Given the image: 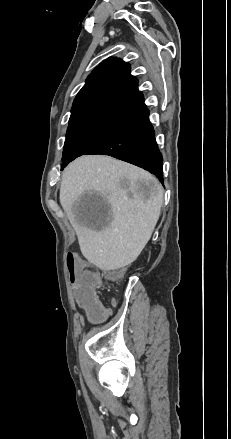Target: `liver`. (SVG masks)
I'll return each mask as SVG.
<instances>
[{
    "label": "liver",
    "mask_w": 231,
    "mask_h": 439,
    "mask_svg": "<svg viewBox=\"0 0 231 439\" xmlns=\"http://www.w3.org/2000/svg\"><path fill=\"white\" fill-rule=\"evenodd\" d=\"M128 187L122 186V181ZM96 194L109 206L97 217L81 212V197ZM60 203L81 253L101 270L130 265L150 240L160 216L163 189L149 172L104 155L82 156L62 175Z\"/></svg>",
    "instance_id": "1"
}]
</instances>
